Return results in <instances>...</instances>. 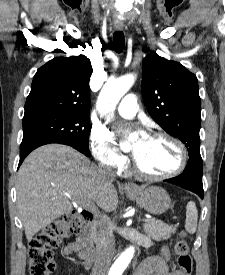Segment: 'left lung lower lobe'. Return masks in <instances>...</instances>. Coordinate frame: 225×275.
<instances>
[{
    "mask_svg": "<svg viewBox=\"0 0 225 275\" xmlns=\"http://www.w3.org/2000/svg\"><path fill=\"white\" fill-rule=\"evenodd\" d=\"M203 164L200 155L189 157L187 166L183 173L178 177L164 180V182L172 183L190 190L200 196L204 197L202 184Z\"/></svg>",
    "mask_w": 225,
    "mask_h": 275,
    "instance_id": "obj_1",
    "label": "left lung lower lobe"
}]
</instances>
